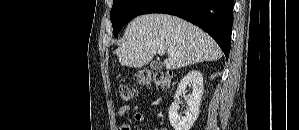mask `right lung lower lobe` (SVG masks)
I'll use <instances>...</instances> for the list:
<instances>
[{
	"instance_id": "98d812e1",
	"label": "right lung lower lobe",
	"mask_w": 299,
	"mask_h": 130,
	"mask_svg": "<svg viewBox=\"0 0 299 130\" xmlns=\"http://www.w3.org/2000/svg\"><path fill=\"white\" fill-rule=\"evenodd\" d=\"M233 3V0H151L139 15L165 13L183 18L214 38L228 58Z\"/></svg>"
}]
</instances>
